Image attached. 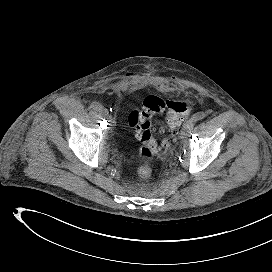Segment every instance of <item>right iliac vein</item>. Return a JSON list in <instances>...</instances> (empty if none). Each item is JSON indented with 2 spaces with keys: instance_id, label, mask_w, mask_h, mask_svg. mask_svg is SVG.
<instances>
[{
  "instance_id": "63e3f726",
  "label": "right iliac vein",
  "mask_w": 272,
  "mask_h": 272,
  "mask_svg": "<svg viewBox=\"0 0 272 272\" xmlns=\"http://www.w3.org/2000/svg\"><path fill=\"white\" fill-rule=\"evenodd\" d=\"M99 114L102 115L103 117L108 118V120L110 119L109 112H108L106 109H104L103 107H102V109L99 111ZM109 121H110V120H109Z\"/></svg>"
}]
</instances>
